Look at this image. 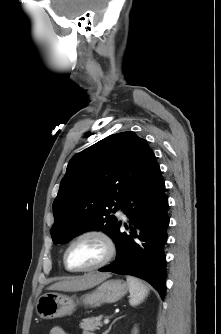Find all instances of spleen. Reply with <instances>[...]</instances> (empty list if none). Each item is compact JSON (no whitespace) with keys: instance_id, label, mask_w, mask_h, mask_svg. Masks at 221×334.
I'll list each match as a JSON object with an SVG mask.
<instances>
[{"instance_id":"obj_1","label":"spleen","mask_w":221,"mask_h":334,"mask_svg":"<svg viewBox=\"0 0 221 334\" xmlns=\"http://www.w3.org/2000/svg\"><path fill=\"white\" fill-rule=\"evenodd\" d=\"M129 288V303L132 306L139 305L148 296V287L138 278L128 275L126 277Z\"/></svg>"}]
</instances>
